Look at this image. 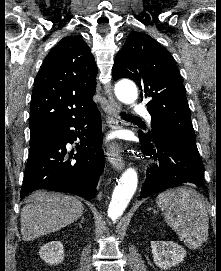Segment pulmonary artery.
<instances>
[{
  "label": "pulmonary artery",
  "mask_w": 221,
  "mask_h": 271,
  "mask_svg": "<svg viewBox=\"0 0 221 271\" xmlns=\"http://www.w3.org/2000/svg\"><path fill=\"white\" fill-rule=\"evenodd\" d=\"M135 107H132V112H143V103L142 102H135Z\"/></svg>",
  "instance_id": "1"
}]
</instances>
